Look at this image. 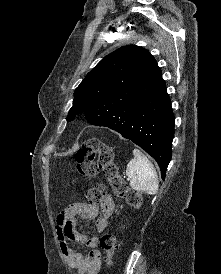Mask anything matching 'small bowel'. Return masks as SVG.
<instances>
[{
	"instance_id": "obj_1",
	"label": "small bowel",
	"mask_w": 221,
	"mask_h": 274,
	"mask_svg": "<svg viewBox=\"0 0 221 274\" xmlns=\"http://www.w3.org/2000/svg\"><path fill=\"white\" fill-rule=\"evenodd\" d=\"M114 209L115 203L112 197L106 196L100 205L74 203L58 215L56 233L60 250L67 263L76 269L77 274H97L101 265V253L97 249L98 238L77 231L75 228L77 222L82 219H93L96 233H101L106 229ZM68 241L86 245L89 252L84 254L73 249Z\"/></svg>"
}]
</instances>
